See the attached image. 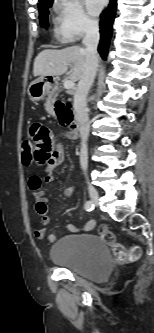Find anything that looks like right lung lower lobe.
Returning a JSON list of instances; mask_svg holds the SVG:
<instances>
[{"mask_svg":"<svg viewBox=\"0 0 154 333\" xmlns=\"http://www.w3.org/2000/svg\"><path fill=\"white\" fill-rule=\"evenodd\" d=\"M117 0H110L109 6L105 9L101 15L100 20V34L101 39L98 46V51L103 59H106L108 53V46L112 35V24L115 17V8Z\"/></svg>","mask_w":154,"mask_h":333,"instance_id":"1","label":"right lung lower lobe"}]
</instances>
